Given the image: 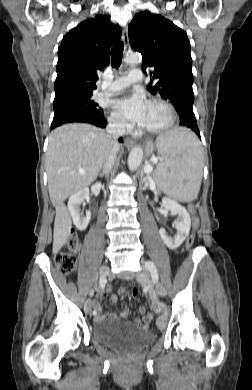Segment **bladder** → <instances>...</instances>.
Masks as SVG:
<instances>
[{"label":"bladder","instance_id":"1","mask_svg":"<svg viewBox=\"0 0 252 390\" xmlns=\"http://www.w3.org/2000/svg\"><path fill=\"white\" fill-rule=\"evenodd\" d=\"M91 336L100 345L126 354L136 353L155 340L152 331L135 324L117 321L94 323Z\"/></svg>","mask_w":252,"mask_h":390}]
</instances>
